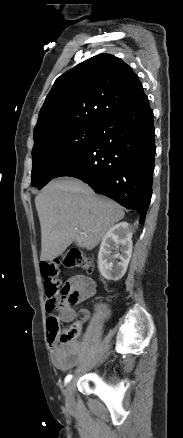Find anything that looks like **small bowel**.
I'll return each mask as SVG.
<instances>
[{
  "label": "small bowel",
  "instance_id": "c3829d8e",
  "mask_svg": "<svg viewBox=\"0 0 183 438\" xmlns=\"http://www.w3.org/2000/svg\"><path fill=\"white\" fill-rule=\"evenodd\" d=\"M72 291L78 295L77 303L85 301L92 297L96 292L95 281L85 275H76L71 277L67 282ZM105 317H108L110 310L105 306H100ZM79 316L77 321L75 318ZM89 317V311L86 309L75 310L72 304L65 301L59 312V320L65 323L73 322L78 331L82 329L83 324ZM47 340L51 349L52 362L56 368L61 371H67L75 366L82 353V344L76 338L70 342H64L58 336L48 332Z\"/></svg>",
  "mask_w": 183,
  "mask_h": 438
}]
</instances>
